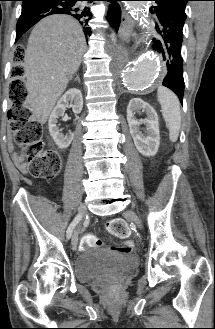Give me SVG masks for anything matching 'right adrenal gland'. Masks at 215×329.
I'll return each instance as SVG.
<instances>
[{
  "mask_svg": "<svg viewBox=\"0 0 215 329\" xmlns=\"http://www.w3.org/2000/svg\"><path fill=\"white\" fill-rule=\"evenodd\" d=\"M75 81H78L80 83V77H79V75H76Z\"/></svg>",
  "mask_w": 215,
  "mask_h": 329,
  "instance_id": "1",
  "label": "right adrenal gland"
}]
</instances>
